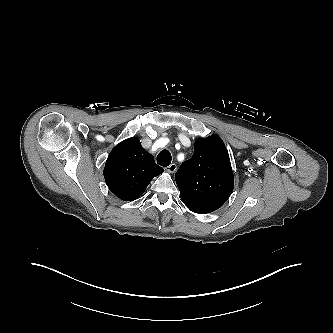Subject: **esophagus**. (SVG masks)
<instances>
[{
	"label": "esophagus",
	"mask_w": 333,
	"mask_h": 333,
	"mask_svg": "<svg viewBox=\"0 0 333 333\" xmlns=\"http://www.w3.org/2000/svg\"><path fill=\"white\" fill-rule=\"evenodd\" d=\"M177 169L176 164H170L168 167L165 168V170L169 173H174Z\"/></svg>",
	"instance_id": "esophagus-1"
}]
</instances>
